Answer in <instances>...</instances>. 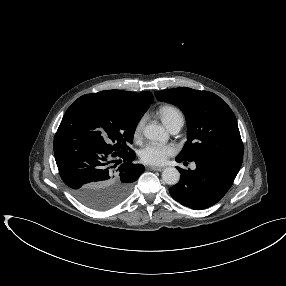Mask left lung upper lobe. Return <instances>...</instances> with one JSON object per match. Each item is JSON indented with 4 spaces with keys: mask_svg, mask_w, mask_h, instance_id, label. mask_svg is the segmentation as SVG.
I'll use <instances>...</instances> for the list:
<instances>
[{
    "mask_svg": "<svg viewBox=\"0 0 286 286\" xmlns=\"http://www.w3.org/2000/svg\"><path fill=\"white\" fill-rule=\"evenodd\" d=\"M157 100L178 106L187 121V142L177 156L186 161L218 158L242 164L243 143L236 117L216 94L186 87L156 91Z\"/></svg>",
    "mask_w": 286,
    "mask_h": 286,
    "instance_id": "1",
    "label": "left lung upper lobe"
}]
</instances>
